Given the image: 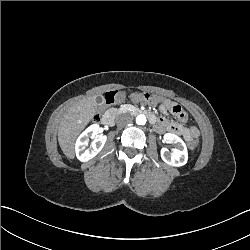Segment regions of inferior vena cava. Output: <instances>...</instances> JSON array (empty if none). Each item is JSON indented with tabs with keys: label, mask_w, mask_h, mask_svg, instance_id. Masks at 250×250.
<instances>
[{
	"label": "inferior vena cava",
	"mask_w": 250,
	"mask_h": 250,
	"mask_svg": "<svg viewBox=\"0 0 250 250\" xmlns=\"http://www.w3.org/2000/svg\"><path fill=\"white\" fill-rule=\"evenodd\" d=\"M133 123V116L130 115L129 113H124L121 114L117 119H116V124L118 126H126L130 125Z\"/></svg>",
	"instance_id": "obj_1"
}]
</instances>
